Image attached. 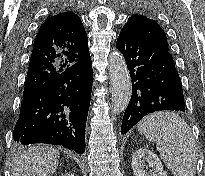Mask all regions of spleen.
<instances>
[{
    "mask_svg": "<svg viewBox=\"0 0 205 176\" xmlns=\"http://www.w3.org/2000/svg\"><path fill=\"white\" fill-rule=\"evenodd\" d=\"M138 131L156 143L173 176H196L197 148L191 129L178 114L162 111L146 116Z\"/></svg>",
    "mask_w": 205,
    "mask_h": 176,
    "instance_id": "1",
    "label": "spleen"
}]
</instances>
